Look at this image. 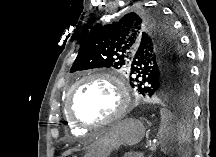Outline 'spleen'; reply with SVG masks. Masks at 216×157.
<instances>
[{
  "label": "spleen",
  "instance_id": "obj_1",
  "mask_svg": "<svg viewBox=\"0 0 216 157\" xmlns=\"http://www.w3.org/2000/svg\"><path fill=\"white\" fill-rule=\"evenodd\" d=\"M161 123L157 134L161 151L168 155L188 157L190 155V132L185 124L171 111L160 110Z\"/></svg>",
  "mask_w": 216,
  "mask_h": 157
}]
</instances>
